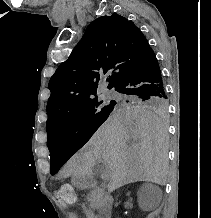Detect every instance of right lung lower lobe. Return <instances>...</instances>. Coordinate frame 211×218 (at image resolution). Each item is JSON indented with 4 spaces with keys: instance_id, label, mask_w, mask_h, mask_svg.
I'll list each match as a JSON object with an SVG mask.
<instances>
[{
    "instance_id": "98d812e1",
    "label": "right lung lower lobe",
    "mask_w": 211,
    "mask_h": 218,
    "mask_svg": "<svg viewBox=\"0 0 211 218\" xmlns=\"http://www.w3.org/2000/svg\"><path fill=\"white\" fill-rule=\"evenodd\" d=\"M127 97L167 98L158 61L153 50L135 62L112 88Z\"/></svg>"
}]
</instances>
